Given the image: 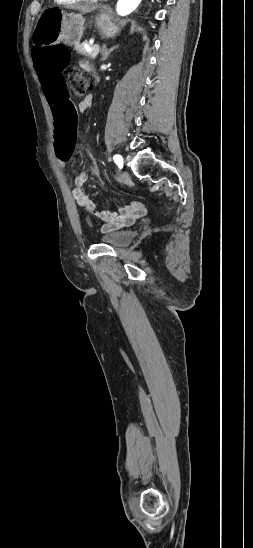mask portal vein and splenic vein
Returning a JSON list of instances; mask_svg holds the SVG:
<instances>
[{"label": "portal vein and splenic vein", "instance_id": "portal-vein-and-splenic-vein-1", "mask_svg": "<svg viewBox=\"0 0 253 548\" xmlns=\"http://www.w3.org/2000/svg\"><path fill=\"white\" fill-rule=\"evenodd\" d=\"M99 50H100V47H99L98 45H97V46H95V49H94V53H96V54H97V53L99 52Z\"/></svg>", "mask_w": 253, "mask_h": 548}]
</instances>
